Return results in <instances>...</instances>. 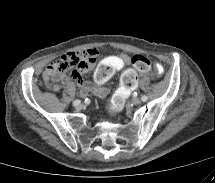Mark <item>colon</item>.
Returning a JSON list of instances; mask_svg holds the SVG:
<instances>
[{
	"mask_svg": "<svg viewBox=\"0 0 215 183\" xmlns=\"http://www.w3.org/2000/svg\"><path fill=\"white\" fill-rule=\"evenodd\" d=\"M132 64L139 72H146L150 69V61L141 55L132 57ZM79 65L76 60L60 59L59 70L65 71L71 67ZM155 71L157 73H164L166 71V64L164 62H157L155 64ZM123 85L126 89L134 88L138 83V77L133 70H126L122 75ZM125 103V94L123 92L116 93L110 103V109L114 112L122 110Z\"/></svg>",
	"mask_w": 215,
	"mask_h": 183,
	"instance_id": "colon-1",
	"label": "colon"
}]
</instances>
